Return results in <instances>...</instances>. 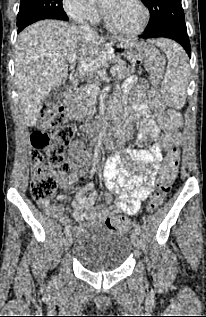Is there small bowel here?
I'll return each mask as SVG.
<instances>
[{"mask_svg":"<svg viewBox=\"0 0 206 317\" xmlns=\"http://www.w3.org/2000/svg\"><path fill=\"white\" fill-rule=\"evenodd\" d=\"M124 92L128 95L130 107L124 102L126 115L121 116L123 134L120 137L121 145L129 138L133 125H137V138L148 140L151 146L148 150L138 148H122L107 164L104 171L106 187L116 195L113 201L109 196L105 202L107 207L98 205V193L94 191V184L90 183L77 192L75 200L71 202L73 217L78 222L88 221L101 225L115 214L134 215L140 208L142 201L147 199L154 191V176L165 156L174 151L178 152L181 144V135L159 127L154 120L158 116L159 122L164 110L157 87L149 88L148 83L136 76H130L124 83ZM148 95V100L145 96ZM70 154L76 157L80 154L85 160L87 152L80 142L70 147ZM61 188L66 192L74 189V180L59 179ZM62 195L57 196L62 201ZM41 209L49 216L62 224H68L70 218L65 215L61 204L50 200L39 201ZM83 224L77 225L74 230L80 233L84 230Z\"/></svg>","mask_w":206,"mask_h":317,"instance_id":"obj_1","label":"small bowel"}]
</instances>
